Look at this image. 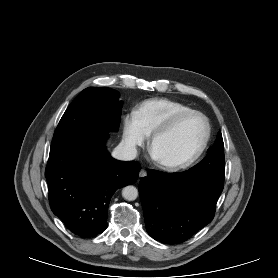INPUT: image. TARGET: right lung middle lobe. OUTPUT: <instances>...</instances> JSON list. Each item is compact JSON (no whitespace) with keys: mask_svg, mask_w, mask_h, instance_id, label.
I'll return each instance as SVG.
<instances>
[{"mask_svg":"<svg viewBox=\"0 0 278 278\" xmlns=\"http://www.w3.org/2000/svg\"><path fill=\"white\" fill-rule=\"evenodd\" d=\"M118 92L109 88L84 89L63 114L52 145L89 132L118 130L122 102Z\"/></svg>","mask_w":278,"mask_h":278,"instance_id":"obj_1","label":"right lung middle lobe"}]
</instances>
